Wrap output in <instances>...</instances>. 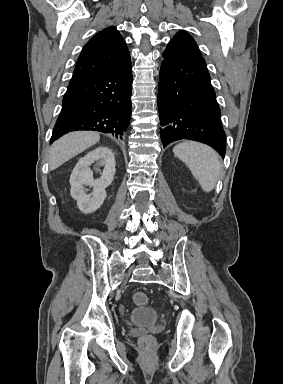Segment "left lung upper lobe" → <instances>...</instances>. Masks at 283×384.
I'll use <instances>...</instances> for the list:
<instances>
[{"label": "left lung upper lobe", "instance_id": "obj_1", "mask_svg": "<svg viewBox=\"0 0 283 384\" xmlns=\"http://www.w3.org/2000/svg\"><path fill=\"white\" fill-rule=\"evenodd\" d=\"M170 42L179 44L181 46H184L194 52H197L200 54V51L198 49V46L194 39L186 32H179L175 35L174 39H172Z\"/></svg>", "mask_w": 283, "mask_h": 384}]
</instances>
